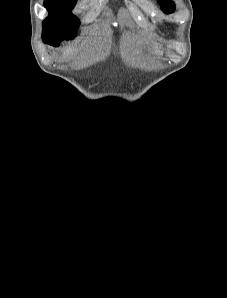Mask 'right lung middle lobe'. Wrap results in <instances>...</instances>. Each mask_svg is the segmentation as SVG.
I'll return each instance as SVG.
<instances>
[{
  "instance_id": "1",
  "label": "right lung middle lobe",
  "mask_w": 227,
  "mask_h": 298,
  "mask_svg": "<svg viewBox=\"0 0 227 298\" xmlns=\"http://www.w3.org/2000/svg\"><path fill=\"white\" fill-rule=\"evenodd\" d=\"M76 2L77 0L44 1L49 16L43 21L42 38L52 40L57 46L58 42L75 37L80 22L71 11Z\"/></svg>"
}]
</instances>
